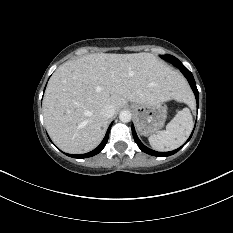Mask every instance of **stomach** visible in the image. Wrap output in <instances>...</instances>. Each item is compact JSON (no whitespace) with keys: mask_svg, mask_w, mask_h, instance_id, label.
Listing matches in <instances>:
<instances>
[{"mask_svg":"<svg viewBox=\"0 0 233 233\" xmlns=\"http://www.w3.org/2000/svg\"><path fill=\"white\" fill-rule=\"evenodd\" d=\"M137 130L141 135L158 132L165 123L167 108L163 102L153 104H132Z\"/></svg>","mask_w":233,"mask_h":233,"instance_id":"1","label":"stomach"}]
</instances>
